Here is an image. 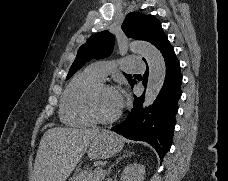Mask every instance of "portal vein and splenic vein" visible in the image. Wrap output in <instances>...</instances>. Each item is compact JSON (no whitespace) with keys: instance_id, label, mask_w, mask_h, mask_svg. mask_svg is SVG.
Here are the masks:
<instances>
[{"instance_id":"1","label":"portal vein and splenic vein","mask_w":228,"mask_h":181,"mask_svg":"<svg viewBox=\"0 0 228 181\" xmlns=\"http://www.w3.org/2000/svg\"><path fill=\"white\" fill-rule=\"evenodd\" d=\"M106 170H107V169L104 167V168L101 169L99 172H100L101 174H102V173L104 174V173L106 172Z\"/></svg>"}]
</instances>
